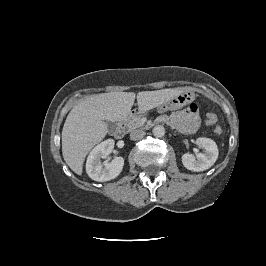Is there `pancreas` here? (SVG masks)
I'll return each instance as SVG.
<instances>
[{"label": "pancreas", "mask_w": 266, "mask_h": 266, "mask_svg": "<svg viewBox=\"0 0 266 266\" xmlns=\"http://www.w3.org/2000/svg\"><path fill=\"white\" fill-rule=\"evenodd\" d=\"M142 115L133 116L127 124L129 131H132L136 128H142L144 123L141 121Z\"/></svg>", "instance_id": "1"}]
</instances>
